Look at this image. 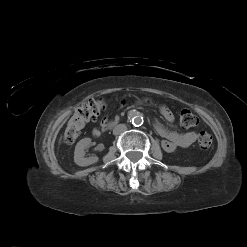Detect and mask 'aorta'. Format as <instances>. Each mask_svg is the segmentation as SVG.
Listing matches in <instances>:
<instances>
[{"mask_svg": "<svg viewBox=\"0 0 247 247\" xmlns=\"http://www.w3.org/2000/svg\"><path fill=\"white\" fill-rule=\"evenodd\" d=\"M129 120L130 122L134 125V126H140L143 124V117L141 116V114L136 111V110H131L128 114Z\"/></svg>", "mask_w": 247, "mask_h": 247, "instance_id": "762f6f07", "label": "aorta"}]
</instances>
